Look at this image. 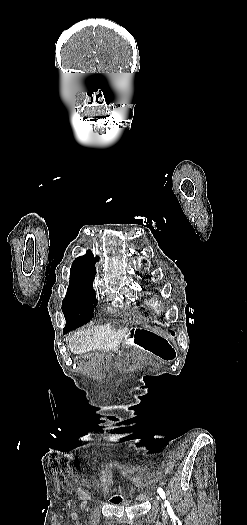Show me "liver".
I'll return each mask as SVG.
<instances>
[{
  "label": "liver",
  "instance_id": "6515ba94",
  "mask_svg": "<svg viewBox=\"0 0 247 525\" xmlns=\"http://www.w3.org/2000/svg\"><path fill=\"white\" fill-rule=\"evenodd\" d=\"M109 331V325H102V327H91L86 331H78L74 333L68 341V347L74 355H83L88 351H101L103 339H105Z\"/></svg>",
  "mask_w": 247,
  "mask_h": 525
}]
</instances>
